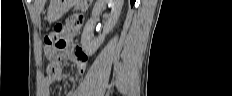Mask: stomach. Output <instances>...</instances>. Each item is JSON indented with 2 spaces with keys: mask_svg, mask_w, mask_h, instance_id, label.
<instances>
[{
  "mask_svg": "<svg viewBox=\"0 0 232 96\" xmlns=\"http://www.w3.org/2000/svg\"><path fill=\"white\" fill-rule=\"evenodd\" d=\"M73 0H52L47 13L48 22L60 19L72 6Z\"/></svg>",
  "mask_w": 232,
  "mask_h": 96,
  "instance_id": "obj_1",
  "label": "stomach"
}]
</instances>
